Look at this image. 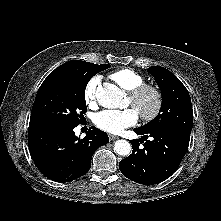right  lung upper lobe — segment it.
Segmentation results:
<instances>
[{"label": "right lung upper lobe", "instance_id": "cb5924a9", "mask_svg": "<svg viewBox=\"0 0 221 221\" xmlns=\"http://www.w3.org/2000/svg\"><path fill=\"white\" fill-rule=\"evenodd\" d=\"M89 64H91V63L85 62V61H80V60L68 61V62L62 64L61 66H59L58 68H56L53 72H51L44 81H47L48 79H50L56 75H59L61 73L81 71Z\"/></svg>", "mask_w": 221, "mask_h": 221}]
</instances>
